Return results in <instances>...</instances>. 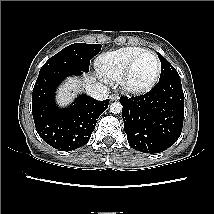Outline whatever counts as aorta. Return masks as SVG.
Segmentation results:
<instances>
[{"label": "aorta", "instance_id": "1", "mask_svg": "<svg viewBox=\"0 0 214 214\" xmlns=\"http://www.w3.org/2000/svg\"><path fill=\"white\" fill-rule=\"evenodd\" d=\"M122 104L120 102H114L110 105V111L114 114H118L122 111Z\"/></svg>", "mask_w": 214, "mask_h": 214}]
</instances>
